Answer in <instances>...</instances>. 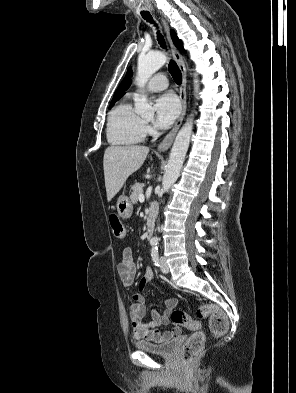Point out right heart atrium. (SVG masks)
<instances>
[{"label":"right heart atrium","instance_id":"1","mask_svg":"<svg viewBox=\"0 0 296 393\" xmlns=\"http://www.w3.org/2000/svg\"><path fill=\"white\" fill-rule=\"evenodd\" d=\"M144 129L146 134H151L153 132V129L150 125H145Z\"/></svg>","mask_w":296,"mask_h":393}]
</instances>
